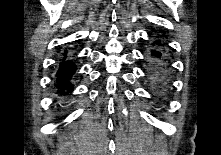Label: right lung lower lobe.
Returning a JSON list of instances; mask_svg holds the SVG:
<instances>
[{"mask_svg":"<svg viewBox=\"0 0 221 155\" xmlns=\"http://www.w3.org/2000/svg\"><path fill=\"white\" fill-rule=\"evenodd\" d=\"M66 54L67 52L65 51L57 72L56 87L59 88L61 94L70 93L73 90V86L69 80L76 70L75 64L71 60H66ZM64 90L66 92H63Z\"/></svg>","mask_w":221,"mask_h":155,"instance_id":"obj_1","label":"right lung lower lobe"}]
</instances>
